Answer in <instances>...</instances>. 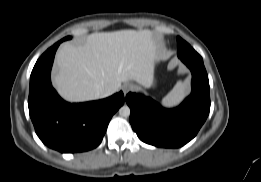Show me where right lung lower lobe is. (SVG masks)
<instances>
[{
  "mask_svg": "<svg viewBox=\"0 0 261 182\" xmlns=\"http://www.w3.org/2000/svg\"><path fill=\"white\" fill-rule=\"evenodd\" d=\"M60 40L37 60L30 77L28 107L35 131L48 147L62 153L97 147L113 114L124 104L123 92L106 99L71 104L53 89L50 72Z\"/></svg>",
  "mask_w": 261,
  "mask_h": 182,
  "instance_id": "obj_1",
  "label": "right lung lower lobe"
}]
</instances>
